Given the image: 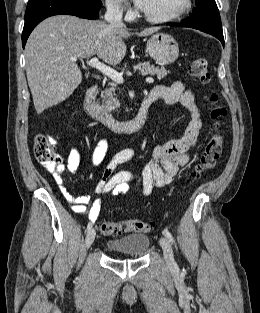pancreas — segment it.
Returning a JSON list of instances; mask_svg holds the SVG:
<instances>
[{"mask_svg": "<svg viewBox=\"0 0 260 313\" xmlns=\"http://www.w3.org/2000/svg\"><path fill=\"white\" fill-rule=\"evenodd\" d=\"M135 68L139 69L142 75H157V78L159 80L166 77L167 74L169 73V71L166 70L164 67H161V68L158 66L155 67L154 65H151L149 62L138 63L135 66ZM109 85L111 86V88L106 89L102 93L103 107L107 111H112L120 107V103L115 97L116 84L109 83Z\"/></svg>", "mask_w": 260, "mask_h": 313, "instance_id": "pancreas-1", "label": "pancreas"}]
</instances>
